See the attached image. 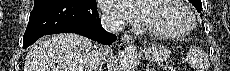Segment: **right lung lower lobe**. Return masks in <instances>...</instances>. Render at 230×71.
<instances>
[{"mask_svg":"<svg viewBox=\"0 0 230 71\" xmlns=\"http://www.w3.org/2000/svg\"><path fill=\"white\" fill-rule=\"evenodd\" d=\"M77 33L102 44L110 45L116 35L101 26L96 0H37L30 13L23 36V48H27L44 35Z\"/></svg>","mask_w":230,"mask_h":71,"instance_id":"right-lung-lower-lobe-1","label":"right lung lower lobe"}]
</instances>
